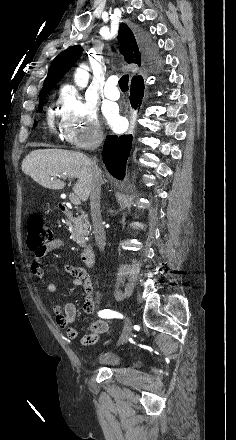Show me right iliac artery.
<instances>
[{"instance_id": "right-iliac-artery-1", "label": "right iliac artery", "mask_w": 236, "mask_h": 440, "mask_svg": "<svg viewBox=\"0 0 236 440\" xmlns=\"http://www.w3.org/2000/svg\"><path fill=\"white\" fill-rule=\"evenodd\" d=\"M98 316L101 318H123L122 314L113 311V310H109V309H104L98 312Z\"/></svg>"}]
</instances>
